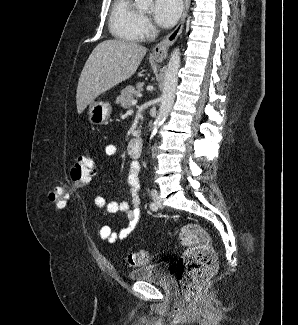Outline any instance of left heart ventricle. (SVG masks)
<instances>
[{"label":"left heart ventricle","instance_id":"1","mask_svg":"<svg viewBox=\"0 0 298 325\" xmlns=\"http://www.w3.org/2000/svg\"><path fill=\"white\" fill-rule=\"evenodd\" d=\"M139 4L144 10H149L151 7V3L149 1H140Z\"/></svg>","mask_w":298,"mask_h":325}]
</instances>
